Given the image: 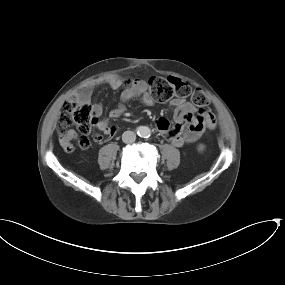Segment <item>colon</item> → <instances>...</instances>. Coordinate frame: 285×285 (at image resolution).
<instances>
[{"label":"colon","instance_id":"5ec220e1","mask_svg":"<svg viewBox=\"0 0 285 285\" xmlns=\"http://www.w3.org/2000/svg\"><path fill=\"white\" fill-rule=\"evenodd\" d=\"M124 85L132 86L131 80H126ZM149 92L153 99L159 102H166L176 97H190L192 103L200 108L209 104L205 93L201 90L192 89L190 83L174 77H153L149 80ZM205 126L212 129L215 126L213 116L206 120ZM76 127L83 139L92 133L95 141H101L104 136L92 130L95 127V120L91 114V107L88 101L67 100L64 102L59 116L58 133L64 144H67V136L70 129Z\"/></svg>","mask_w":285,"mask_h":285}]
</instances>
